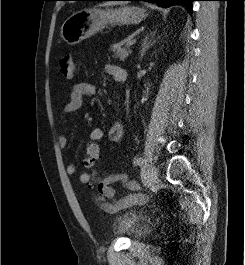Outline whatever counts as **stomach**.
<instances>
[{"mask_svg":"<svg viewBox=\"0 0 245 265\" xmlns=\"http://www.w3.org/2000/svg\"><path fill=\"white\" fill-rule=\"evenodd\" d=\"M148 16L140 7L85 8L73 13L61 26V37L69 45H76L104 29L107 25L138 24Z\"/></svg>","mask_w":245,"mask_h":265,"instance_id":"1","label":"stomach"}]
</instances>
